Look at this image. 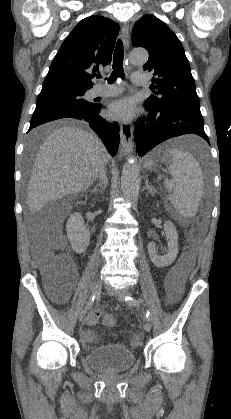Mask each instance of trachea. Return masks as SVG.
<instances>
[{
  "label": "trachea",
  "instance_id": "trachea-1",
  "mask_svg": "<svg viewBox=\"0 0 231 419\" xmlns=\"http://www.w3.org/2000/svg\"><path fill=\"white\" fill-rule=\"evenodd\" d=\"M114 59H113V71L110 77L107 79L108 83H113L118 77H124L123 71V58H124V50H123V42L121 39L117 41L116 48L114 51ZM100 75H97V78H100Z\"/></svg>",
  "mask_w": 231,
  "mask_h": 419
}]
</instances>
